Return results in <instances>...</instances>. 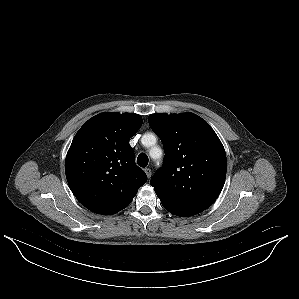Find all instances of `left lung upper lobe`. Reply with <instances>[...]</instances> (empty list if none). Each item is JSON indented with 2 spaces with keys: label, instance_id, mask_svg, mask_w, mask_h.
<instances>
[{
  "label": "left lung upper lobe",
  "instance_id": "5c2ea615",
  "mask_svg": "<svg viewBox=\"0 0 299 299\" xmlns=\"http://www.w3.org/2000/svg\"><path fill=\"white\" fill-rule=\"evenodd\" d=\"M152 130L162 140L164 165L150 180L162 203L205 210L226 178L224 147L210 125L194 113L151 114Z\"/></svg>",
  "mask_w": 299,
  "mask_h": 299
}]
</instances>
